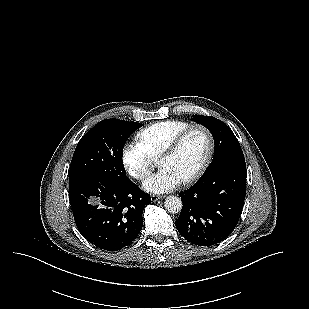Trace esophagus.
<instances>
[{
  "instance_id": "esophagus-1",
  "label": "esophagus",
  "mask_w": 309,
  "mask_h": 309,
  "mask_svg": "<svg viewBox=\"0 0 309 309\" xmlns=\"http://www.w3.org/2000/svg\"><path fill=\"white\" fill-rule=\"evenodd\" d=\"M162 198V196H159V195H152L151 196V201L152 202H156L157 200H159V199H161Z\"/></svg>"
}]
</instances>
